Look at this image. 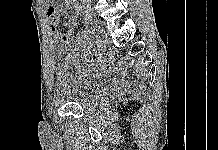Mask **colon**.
I'll return each instance as SVG.
<instances>
[{
    "instance_id": "colon-1",
    "label": "colon",
    "mask_w": 218,
    "mask_h": 150,
    "mask_svg": "<svg viewBox=\"0 0 218 150\" xmlns=\"http://www.w3.org/2000/svg\"><path fill=\"white\" fill-rule=\"evenodd\" d=\"M74 37V29L68 28L58 39L62 41H69Z\"/></svg>"
}]
</instances>
